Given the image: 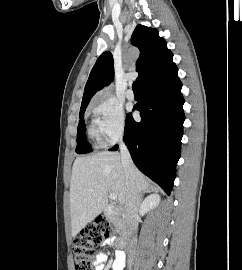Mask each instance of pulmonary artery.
I'll return each instance as SVG.
<instances>
[{
  "mask_svg": "<svg viewBox=\"0 0 242 270\" xmlns=\"http://www.w3.org/2000/svg\"><path fill=\"white\" fill-rule=\"evenodd\" d=\"M126 96L129 100H134L135 99V93L132 89H128L126 92Z\"/></svg>",
  "mask_w": 242,
  "mask_h": 270,
  "instance_id": "pulmonary-artery-1",
  "label": "pulmonary artery"
}]
</instances>
